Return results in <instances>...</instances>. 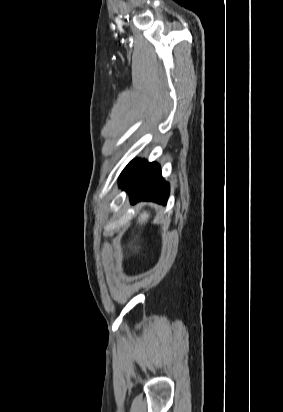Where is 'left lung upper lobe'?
Instances as JSON below:
<instances>
[{
  "instance_id": "left-lung-upper-lobe-1",
  "label": "left lung upper lobe",
  "mask_w": 283,
  "mask_h": 412,
  "mask_svg": "<svg viewBox=\"0 0 283 412\" xmlns=\"http://www.w3.org/2000/svg\"><path fill=\"white\" fill-rule=\"evenodd\" d=\"M140 159L134 160L132 162H130L127 167L123 170V172L121 173L119 182L120 184L125 183L130 176L132 175L133 171L136 169V167L139 165L140 163Z\"/></svg>"
}]
</instances>
